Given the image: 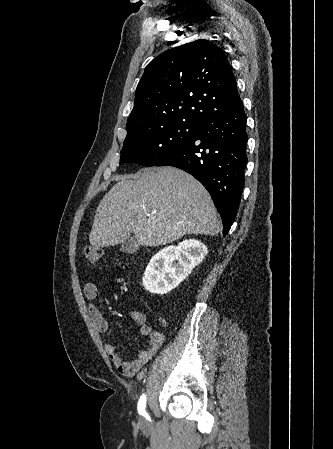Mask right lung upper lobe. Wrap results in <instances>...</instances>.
<instances>
[{
	"instance_id": "obj_1",
	"label": "right lung upper lobe",
	"mask_w": 333,
	"mask_h": 449,
	"mask_svg": "<svg viewBox=\"0 0 333 449\" xmlns=\"http://www.w3.org/2000/svg\"><path fill=\"white\" fill-rule=\"evenodd\" d=\"M236 86L228 59L212 42L199 39L167 50L145 68L126 139L175 121L200 124L240 98Z\"/></svg>"
}]
</instances>
